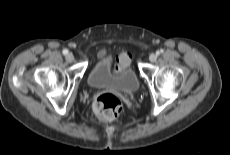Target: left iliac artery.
<instances>
[{"label": "left iliac artery", "mask_w": 230, "mask_h": 155, "mask_svg": "<svg viewBox=\"0 0 230 155\" xmlns=\"http://www.w3.org/2000/svg\"><path fill=\"white\" fill-rule=\"evenodd\" d=\"M164 52V50L163 49H160V50H158L156 53L157 54H161V53H163Z\"/></svg>", "instance_id": "obj_1"}]
</instances>
